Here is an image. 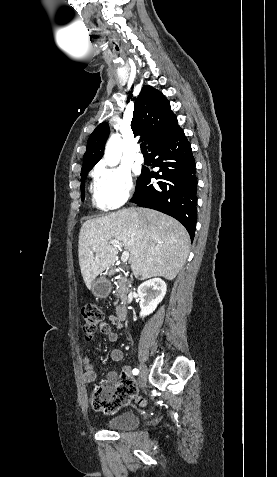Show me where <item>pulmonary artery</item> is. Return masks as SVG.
Returning <instances> with one entry per match:
<instances>
[{
  "label": "pulmonary artery",
  "instance_id": "pulmonary-artery-1",
  "mask_svg": "<svg viewBox=\"0 0 277 477\" xmlns=\"http://www.w3.org/2000/svg\"><path fill=\"white\" fill-rule=\"evenodd\" d=\"M134 159L137 163H143L144 162V156L140 153L139 148L136 149V154L134 156Z\"/></svg>",
  "mask_w": 277,
  "mask_h": 477
}]
</instances>
